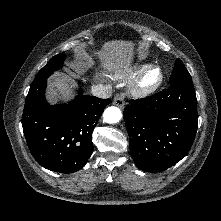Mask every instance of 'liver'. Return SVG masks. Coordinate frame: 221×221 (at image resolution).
Instances as JSON below:
<instances>
[{
  "label": "liver",
  "mask_w": 221,
  "mask_h": 221,
  "mask_svg": "<svg viewBox=\"0 0 221 221\" xmlns=\"http://www.w3.org/2000/svg\"><path fill=\"white\" fill-rule=\"evenodd\" d=\"M134 44L129 41L112 40L104 43L100 50L94 51L104 68L113 72L130 70ZM85 57L83 52H79ZM79 71V68H75ZM74 80L63 73L55 74L49 82L48 94L51 101L68 100L74 92Z\"/></svg>",
  "instance_id": "liver-1"
}]
</instances>
